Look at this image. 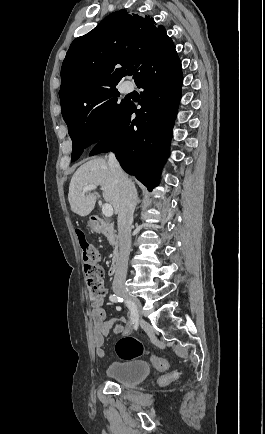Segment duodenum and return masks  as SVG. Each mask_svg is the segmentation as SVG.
<instances>
[{
    "label": "duodenum",
    "mask_w": 265,
    "mask_h": 434,
    "mask_svg": "<svg viewBox=\"0 0 265 434\" xmlns=\"http://www.w3.org/2000/svg\"><path fill=\"white\" fill-rule=\"evenodd\" d=\"M91 225L94 226V230L96 232L108 235V236H113L114 232H115V228L113 225L111 224H106L102 221H96V220H91ZM119 264H120V252L118 250L117 247H114V253H113V258L111 260L110 263V267H109V273L115 275L118 271L119 268Z\"/></svg>",
    "instance_id": "obj_1"
}]
</instances>
